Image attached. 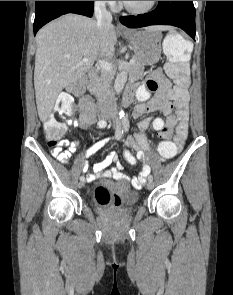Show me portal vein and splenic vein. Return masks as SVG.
<instances>
[{
    "label": "portal vein and splenic vein",
    "instance_id": "obj_1",
    "mask_svg": "<svg viewBox=\"0 0 233 295\" xmlns=\"http://www.w3.org/2000/svg\"><path fill=\"white\" fill-rule=\"evenodd\" d=\"M83 62L88 61L87 58H83L82 59ZM135 62V59H131L130 60V64L132 65ZM98 64L100 65V67L106 71H111L112 70V64L105 62L103 60H98Z\"/></svg>",
    "mask_w": 233,
    "mask_h": 295
}]
</instances>
